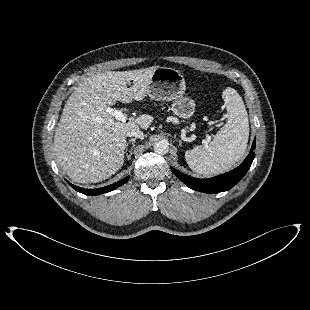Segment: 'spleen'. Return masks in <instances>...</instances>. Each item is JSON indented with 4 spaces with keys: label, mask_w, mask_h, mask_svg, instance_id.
I'll use <instances>...</instances> for the list:
<instances>
[{
    "label": "spleen",
    "mask_w": 310,
    "mask_h": 310,
    "mask_svg": "<svg viewBox=\"0 0 310 310\" xmlns=\"http://www.w3.org/2000/svg\"><path fill=\"white\" fill-rule=\"evenodd\" d=\"M228 118L209 144L185 152L189 167L198 174L217 175L231 169L243 156L249 137L248 114L240 95L233 88L222 93Z\"/></svg>",
    "instance_id": "1"
}]
</instances>
